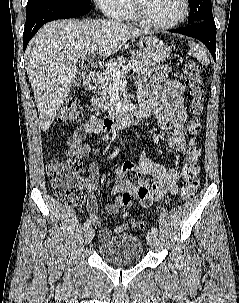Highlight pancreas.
<instances>
[{
	"label": "pancreas",
	"mask_w": 239,
	"mask_h": 303,
	"mask_svg": "<svg viewBox=\"0 0 239 303\" xmlns=\"http://www.w3.org/2000/svg\"><path fill=\"white\" fill-rule=\"evenodd\" d=\"M132 55L131 61H137V66L134 67V70L138 73L151 75L153 72H157L159 77L165 78L168 77L169 72L171 71V66L169 65H161L152 60L144 57L140 52L132 50L130 51ZM125 58L123 56L118 57L112 65L116 69H120L123 67ZM115 80L108 70H105L101 75L98 81V94L100 97L92 98V105L97 110V114H101V112L107 111L109 113L114 111V100L113 94L115 93Z\"/></svg>",
	"instance_id": "pancreas-1"
}]
</instances>
